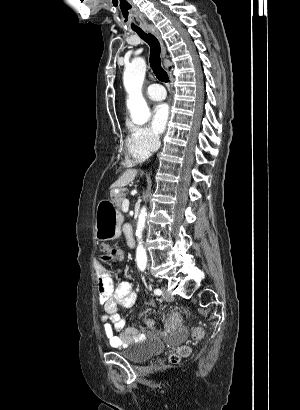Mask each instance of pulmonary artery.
Instances as JSON below:
<instances>
[{"label":"pulmonary artery","instance_id":"e3ab8cb5","mask_svg":"<svg viewBox=\"0 0 300 410\" xmlns=\"http://www.w3.org/2000/svg\"><path fill=\"white\" fill-rule=\"evenodd\" d=\"M147 97L154 101H161L166 97L165 89L159 84L150 85L146 90Z\"/></svg>","mask_w":300,"mask_h":410}]
</instances>
